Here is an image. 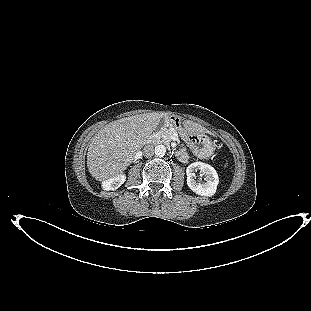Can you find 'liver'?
I'll list each match as a JSON object with an SVG mask.
<instances>
[{
	"mask_svg": "<svg viewBox=\"0 0 311 311\" xmlns=\"http://www.w3.org/2000/svg\"><path fill=\"white\" fill-rule=\"evenodd\" d=\"M164 116L157 112L139 114L113 121L99 130L87 153V167L92 177L104 182L122 175ZM184 124L193 132L205 131L190 120Z\"/></svg>",
	"mask_w": 311,
	"mask_h": 311,
	"instance_id": "1",
	"label": "liver"
}]
</instances>
